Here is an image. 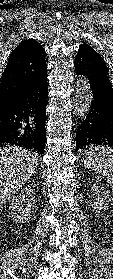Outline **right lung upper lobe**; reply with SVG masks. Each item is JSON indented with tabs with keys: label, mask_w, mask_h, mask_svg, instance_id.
I'll return each instance as SVG.
<instances>
[{
	"label": "right lung upper lobe",
	"mask_w": 113,
	"mask_h": 279,
	"mask_svg": "<svg viewBox=\"0 0 113 279\" xmlns=\"http://www.w3.org/2000/svg\"><path fill=\"white\" fill-rule=\"evenodd\" d=\"M47 69L44 48L34 39L21 42L10 54L0 83V112Z\"/></svg>",
	"instance_id": "1"
}]
</instances>
